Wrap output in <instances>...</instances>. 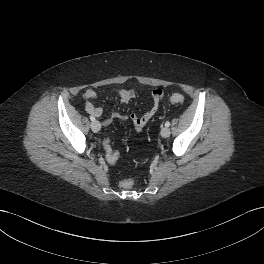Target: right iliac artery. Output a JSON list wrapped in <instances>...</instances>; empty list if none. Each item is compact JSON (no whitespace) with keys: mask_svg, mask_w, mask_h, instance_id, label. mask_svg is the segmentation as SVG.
<instances>
[{"mask_svg":"<svg viewBox=\"0 0 264 264\" xmlns=\"http://www.w3.org/2000/svg\"><path fill=\"white\" fill-rule=\"evenodd\" d=\"M90 120H91V121H95V117L91 115V116H90Z\"/></svg>","mask_w":264,"mask_h":264,"instance_id":"1","label":"right iliac artery"}]
</instances>
